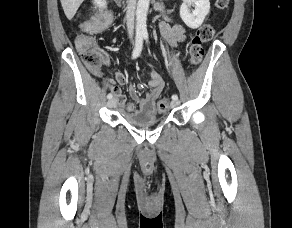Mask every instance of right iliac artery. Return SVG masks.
I'll return each mask as SVG.
<instances>
[{"instance_id":"82829eb1","label":"right iliac artery","mask_w":292,"mask_h":228,"mask_svg":"<svg viewBox=\"0 0 292 228\" xmlns=\"http://www.w3.org/2000/svg\"><path fill=\"white\" fill-rule=\"evenodd\" d=\"M142 47H143V35H137L136 36V42H135V48L133 50V54H132V59H136L142 51ZM113 96L111 93H109L107 95L108 99H111Z\"/></svg>"}]
</instances>
